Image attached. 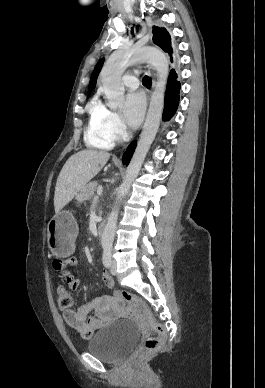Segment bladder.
<instances>
[{"mask_svg": "<svg viewBox=\"0 0 265 388\" xmlns=\"http://www.w3.org/2000/svg\"><path fill=\"white\" fill-rule=\"evenodd\" d=\"M137 333L131 321L110 323L91 338L87 350L103 360L117 361L134 346Z\"/></svg>", "mask_w": 265, "mask_h": 388, "instance_id": "31cf9c89", "label": "bladder"}]
</instances>
